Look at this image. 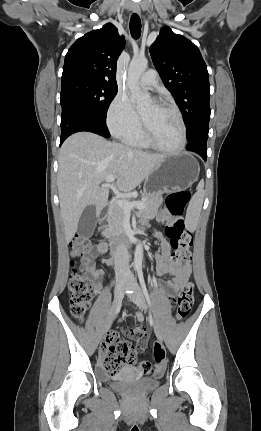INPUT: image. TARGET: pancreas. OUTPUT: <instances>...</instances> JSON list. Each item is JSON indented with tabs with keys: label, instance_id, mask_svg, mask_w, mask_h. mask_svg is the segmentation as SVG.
<instances>
[{
	"label": "pancreas",
	"instance_id": "1",
	"mask_svg": "<svg viewBox=\"0 0 261 431\" xmlns=\"http://www.w3.org/2000/svg\"><path fill=\"white\" fill-rule=\"evenodd\" d=\"M138 202H143L145 204L144 208L139 210V215L148 217L157 213L159 207L162 205L163 198L161 195H143L142 199ZM126 216V211L118 204L113 203L107 213L108 225L105 234L110 237L116 233H122Z\"/></svg>",
	"mask_w": 261,
	"mask_h": 431
}]
</instances>
